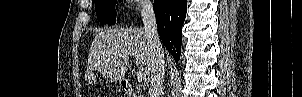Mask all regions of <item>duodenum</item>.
Instances as JSON below:
<instances>
[{
    "instance_id": "1",
    "label": "duodenum",
    "mask_w": 302,
    "mask_h": 97,
    "mask_svg": "<svg viewBox=\"0 0 302 97\" xmlns=\"http://www.w3.org/2000/svg\"><path fill=\"white\" fill-rule=\"evenodd\" d=\"M123 89L125 92L132 97L136 96V89L133 87V85L127 81V80H122L121 82Z\"/></svg>"
}]
</instances>
